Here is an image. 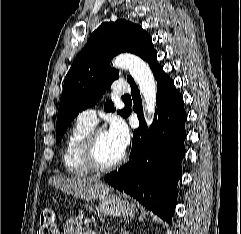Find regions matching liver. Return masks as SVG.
Segmentation results:
<instances>
[{
  "label": "liver",
  "mask_w": 241,
  "mask_h": 234,
  "mask_svg": "<svg viewBox=\"0 0 241 234\" xmlns=\"http://www.w3.org/2000/svg\"><path fill=\"white\" fill-rule=\"evenodd\" d=\"M48 184L76 198L87 201L101 198L111 190L109 185L96 178L53 176Z\"/></svg>",
  "instance_id": "liver-1"
}]
</instances>
